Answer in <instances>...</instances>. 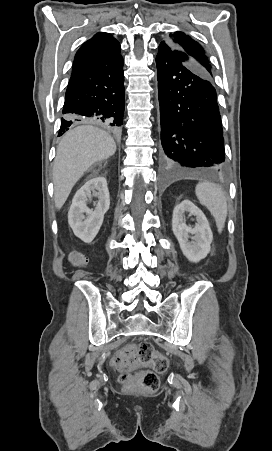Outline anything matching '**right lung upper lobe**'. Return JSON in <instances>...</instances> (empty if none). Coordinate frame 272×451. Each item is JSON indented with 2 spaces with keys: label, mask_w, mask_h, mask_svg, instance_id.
I'll return each mask as SVG.
<instances>
[{
  "label": "right lung upper lobe",
  "mask_w": 272,
  "mask_h": 451,
  "mask_svg": "<svg viewBox=\"0 0 272 451\" xmlns=\"http://www.w3.org/2000/svg\"><path fill=\"white\" fill-rule=\"evenodd\" d=\"M120 53L119 42L109 33L99 32L77 51L73 69L114 57Z\"/></svg>",
  "instance_id": "cb5924a9"
}]
</instances>
